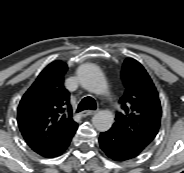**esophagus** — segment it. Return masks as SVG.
<instances>
[{"instance_id":"34e87169","label":"esophagus","mask_w":184,"mask_h":173,"mask_svg":"<svg viewBox=\"0 0 184 173\" xmlns=\"http://www.w3.org/2000/svg\"><path fill=\"white\" fill-rule=\"evenodd\" d=\"M96 113H97V110H85V111H82L80 114L82 117H86L89 115H94Z\"/></svg>"}]
</instances>
